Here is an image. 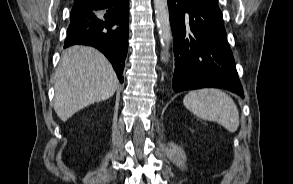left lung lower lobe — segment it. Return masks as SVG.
Instances as JSON below:
<instances>
[{
  "label": "left lung lower lobe",
  "mask_w": 293,
  "mask_h": 184,
  "mask_svg": "<svg viewBox=\"0 0 293 184\" xmlns=\"http://www.w3.org/2000/svg\"><path fill=\"white\" fill-rule=\"evenodd\" d=\"M173 90L218 87L244 98L217 0H168Z\"/></svg>",
  "instance_id": "1"
}]
</instances>
